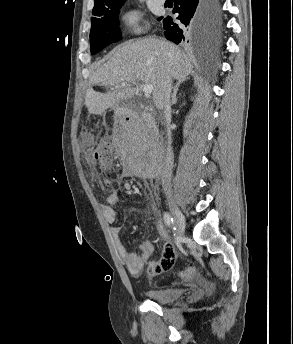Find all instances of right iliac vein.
<instances>
[{
  "label": "right iliac vein",
  "mask_w": 293,
  "mask_h": 344,
  "mask_svg": "<svg viewBox=\"0 0 293 344\" xmlns=\"http://www.w3.org/2000/svg\"><path fill=\"white\" fill-rule=\"evenodd\" d=\"M169 206L173 213L174 223H175L178 233L180 235H184L186 224H185V219L181 210L172 202L169 203Z\"/></svg>",
  "instance_id": "1"
}]
</instances>
